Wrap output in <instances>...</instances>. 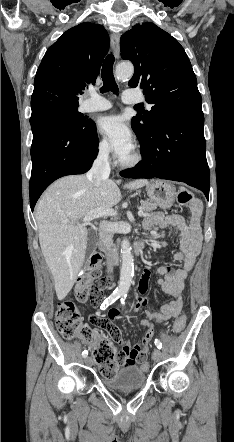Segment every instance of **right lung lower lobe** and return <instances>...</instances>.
I'll list each match as a JSON object with an SVG mask.
<instances>
[{
	"mask_svg": "<svg viewBox=\"0 0 234 442\" xmlns=\"http://www.w3.org/2000/svg\"><path fill=\"white\" fill-rule=\"evenodd\" d=\"M94 123V122H93ZM32 172L30 178V206H34L42 192L56 179L87 172L98 154L95 123L86 130H75L57 120L31 124Z\"/></svg>",
	"mask_w": 234,
	"mask_h": 442,
	"instance_id": "98d812e1",
	"label": "right lung lower lobe"
}]
</instances>
